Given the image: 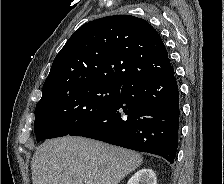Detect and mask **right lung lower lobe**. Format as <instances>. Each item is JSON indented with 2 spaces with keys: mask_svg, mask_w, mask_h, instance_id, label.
Wrapping results in <instances>:
<instances>
[{
  "mask_svg": "<svg viewBox=\"0 0 224 184\" xmlns=\"http://www.w3.org/2000/svg\"><path fill=\"white\" fill-rule=\"evenodd\" d=\"M179 117V90L172 70L125 84L104 112L69 135L156 154L173 163Z\"/></svg>",
  "mask_w": 224,
  "mask_h": 184,
  "instance_id": "obj_1",
  "label": "right lung lower lobe"
}]
</instances>
